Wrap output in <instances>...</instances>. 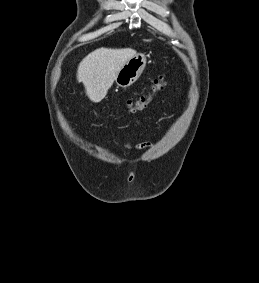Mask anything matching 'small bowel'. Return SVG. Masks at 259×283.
<instances>
[{"instance_id": "small-bowel-1", "label": "small bowel", "mask_w": 259, "mask_h": 283, "mask_svg": "<svg viewBox=\"0 0 259 283\" xmlns=\"http://www.w3.org/2000/svg\"><path fill=\"white\" fill-rule=\"evenodd\" d=\"M150 147V144L149 143H142V144H139L135 147H132L130 144H126L125 148L128 149V150H131V149H136V150H142V149H145V148H148Z\"/></svg>"}]
</instances>
